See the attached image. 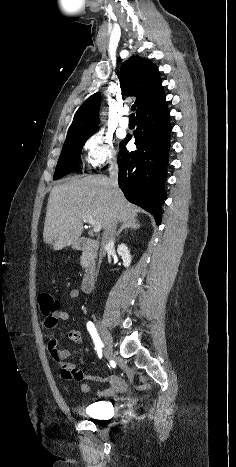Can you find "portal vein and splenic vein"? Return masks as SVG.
Wrapping results in <instances>:
<instances>
[{
	"label": "portal vein and splenic vein",
	"instance_id": "18ae733b",
	"mask_svg": "<svg viewBox=\"0 0 236 467\" xmlns=\"http://www.w3.org/2000/svg\"><path fill=\"white\" fill-rule=\"evenodd\" d=\"M85 221L90 223L93 226L94 232H99L101 230V224L98 222H95L92 217H87Z\"/></svg>",
	"mask_w": 236,
	"mask_h": 467
}]
</instances>
